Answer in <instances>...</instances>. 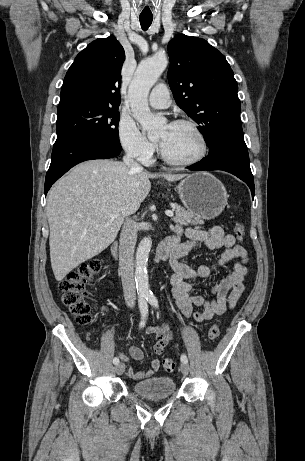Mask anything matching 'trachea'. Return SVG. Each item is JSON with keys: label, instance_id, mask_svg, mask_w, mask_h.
I'll use <instances>...</instances> for the list:
<instances>
[{"label": "trachea", "instance_id": "3493384b", "mask_svg": "<svg viewBox=\"0 0 305 461\" xmlns=\"http://www.w3.org/2000/svg\"><path fill=\"white\" fill-rule=\"evenodd\" d=\"M140 24L143 30H147L152 23L153 18L140 17Z\"/></svg>", "mask_w": 305, "mask_h": 461}]
</instances>
